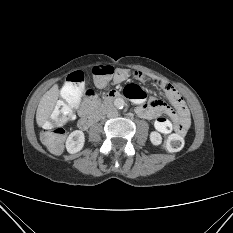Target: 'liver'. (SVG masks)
Listing matches in <instances>:
<instances>
[{"label": "liver", "mask_w": 233, "mask_h": 233, "mask_svg": "<svg viewBox=\"0 0 233 233\" xmlns=\"http://www.w3.org/2000/svg\"><path fill=\"white\" fill-rule=\"evenodd\" d=\"M59 97V88L55 84L40 99L36 112V122L42 127L49 119Z\"/></svg>", "instance_id": "liver-1"}]
</instances>
